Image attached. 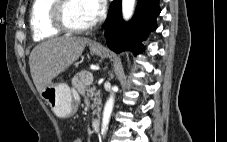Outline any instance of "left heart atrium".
<instances>
[{
    "mask_svg": "<svg viewBox=\"0 0 227 142\" xmlns=\"http://www.w3.org/2000/svg\"><path fill=\"white\" fill-rule=\"evenodd\" d=\"M89 15L95 21L99 19L105 9V0H82Z\"/></svg>",
    "mask_w": 227,
    "mask_h": 142,
    "instance_id": "1",
    "label": "left heart atrium"
}]
</instances>
